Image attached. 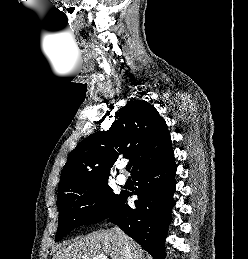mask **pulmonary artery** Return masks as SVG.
I'll use <instances>...</instances> for the list:
<instances>
[{
    "mask_svg": "<svg viewBox=\"0 0 248 259\" xmlns=\"http://www.w3.org/2000/svg\"><path fill=\"white\" fill-rule=\"evenodd\" d=\"M126 181H127V179H126V176H125V175L119 174V175L117 176V182H118V184L124 185V184L126 183Z\"/></svg>",
    "mask_w": 248,
    "mask_h": 259,
    "instance_id": "e3ab8cb5",
    "label": "pulmonary artery"
}]
</instances>
